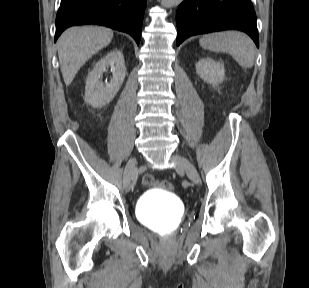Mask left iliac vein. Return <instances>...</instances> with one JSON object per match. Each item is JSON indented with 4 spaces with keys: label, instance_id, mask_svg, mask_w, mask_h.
Segmentation results:
<instances>
[{
    "label": "left iliac vein",
    "instance_id": "4c4485c4",
    "mask_svg": "<svg viewBox=\"0 0 309 288\" xmlns=\"http://www.w3.org/2000/svg\"><path fill=\"white\" fill-rule=\"evenodd\" d=\"M172 159L176 162V166L175 169L177 171L179 170H185L188 178L194 183V184H198L199 183V174L195 168V166L188 161L187 159H185L184 157L180 156V155H173Z\"/></svg>",
    "mask_w": 309,
    "mask_h": 288
}]
</instances>
